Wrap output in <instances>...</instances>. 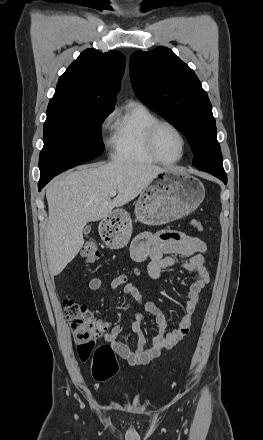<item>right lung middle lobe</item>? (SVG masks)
<instances>
[{"mask_svg":"<svg viewBox=\"0 0 263 440\" xmlns=\"http://www.w3.org/2000/svg\"><path fill=\"white\" fill-rule=\"evenodd\" d=\"M111 111L47 117L44 147L40 152V178L54 177L87 162L104 151L101 124Z\"/></svg>","mask_w":263,"mask_h":440,"instance_id":"dd1d6c3e","label":"right lung middle lobe"}]
</instances>
